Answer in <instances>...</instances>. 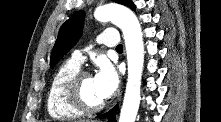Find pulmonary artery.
I'll use <instances>...</instances> for the list:
<instances>
[{
	"instance_id": "e3ab8cb5",
	"label": "pulmonary artery",
	"mask_w": 221,
	"mask_h": 122,
	"mask_svg": "<svg viewBox=\"0 0 221 122\" xmlns=\"http://www.w3.org/2000/svg\"><path fill=\"white\" fill-rule=\"evenodd\" d=\"M97 42L108 47H117L119 45V37L115 30L107 29L98 36ZM72 60L81 65L84 61V56L81 52L77 51L73 54Z\"/></svg>"
}]
</instances>
